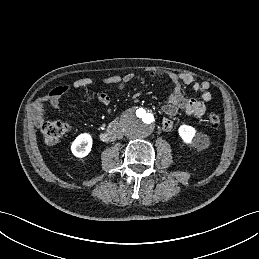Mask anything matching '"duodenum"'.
Segmentation results:
<instances>
[{"mask_svg":"<svg viewBox=\"0 0 259 259\" xmlns=\"http://www.w3.org/2000/svg\"><path fill=\"white\" fill-rule=\"evenodd\" d=\"M119 132H120V128H119L118 122L117 120H114L110 123L108 129L101 133L100 135L101 140L105 142L114 141L117 135L119 134Z\"/></svg>","mask_w":259,"mask_h":259,"instance_id":"1","label":"duodenum"}]
</instances>
